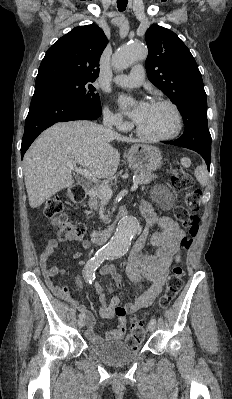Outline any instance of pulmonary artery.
<instances>
[{"instance_id": "pulmonary-artery-1", "label": "pulmonary artery", "mask_w": 232, "mask_h": 399, "mask_svg": "<svg viewBox=\"0 0 232 399\" xmlns=\"http://www.w3.org/2000/svg\"><path fill=\"white\" fill-rule=\"evenodd\" d=\"M137 69H131L130 73H124L122 77L118 78V83L121 85L119 90H139L140 85L145 83V78L142 77L141 69L143 65L138 63Z\"/></svg>"}]
</instances>
